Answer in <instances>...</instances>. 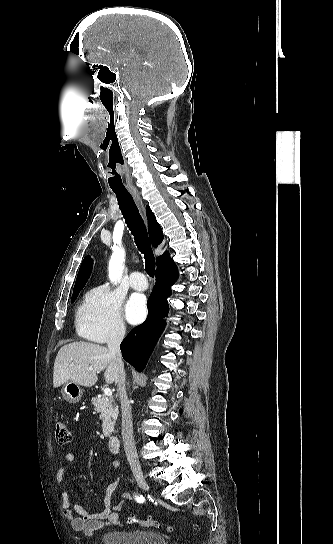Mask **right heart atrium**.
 Here are the masks:
<instances>
[{"label":"right heart atrium","mask_w":333,"mask_h":544,"mask_svg":"<svg viewBox=\"0 0 333 544\" xmlns=\"http://www.w3.org/2000/svg\"><path fill=\"white\" fill-rule=\"evenodd\" d=\"M77 324L82 336L93 342L122 340L126 325L121 298L106 286L94 288L78 312Z\"/></svg>","instance_id":"1"}]
</instances>
